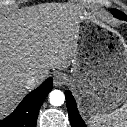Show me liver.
<instances>
[{
	"label": "liver",
	"instance_id": "obj_1",
	"mask_svg": "<svg viewBox=\"0 0 127 127\" xmlns=\"http://www.w3.org/2000/svg\"><path fill=\"white\" fill-rule=\"evenodd\" d=\"M86 15L77 4L57 3L0 17V118L33 89L27 87L30 77H47L50 69L70 66L77 48L78 24Z\"/></svg>",
	"mask_w": 127,
	"mask_h": 127
}]
</instances>
